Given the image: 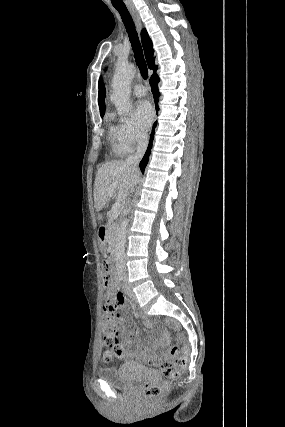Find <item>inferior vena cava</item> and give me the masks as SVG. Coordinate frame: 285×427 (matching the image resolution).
<instances>
[{"instance_id":"obj_1","label":"inferior vena cava","mask_w":285,"mask_h":427,"mask_svg":"<svg viewBox=\"0 0 285 427\" xmlns=\"http://www.w3.org/2000/svg\"><path fill=\"white\" fill-rule=\"evenodd\" d=\"M147 145L148 136L146 134H141L138 140L136 153L126 159V163L130 165L136 172H139L138 165L146 152Z\"/></svg>"}]
</instances>
